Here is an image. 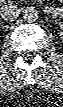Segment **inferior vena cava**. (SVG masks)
Segmentation results:
<instances>
[{
	"label": "inferior vena cava",
	"instance_id": "obj_1",
	"mask_svg": "<svg viewBox=\"0 0 63 107\" xmlns=\"http://www.w3.org/2000/svg\"><path fill=\"white\" fill-rule=\"evenodd\" d=\"M18 9L14 5L3 6L0 9V16L4 20H11L17 16Z\"/></svg>",
	"mask_w": 63,
	"mask_h": 107
}]
</instances>
